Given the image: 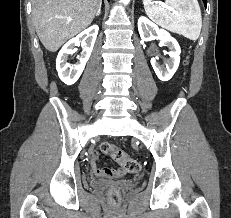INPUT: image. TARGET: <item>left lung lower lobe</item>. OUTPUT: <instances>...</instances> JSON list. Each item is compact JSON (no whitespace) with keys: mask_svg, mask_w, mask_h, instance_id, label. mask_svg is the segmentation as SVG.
Masks as SVG:
<instances>
[{"mask_svg":"<svg viewBox=\"0 0 231 218\" xmlns=\"http://www.w3.org/2000/svg\"><path fill=\"white\" fill-rule=\"evenodd\" d=\"M203 3H204V5H205V7H206V5H207V0H203Z\"/></svg>","mask_w":231,"mask_h":218,"instance_id":"0a47b994","label":"left lung lower lobe"}]
</instances>
